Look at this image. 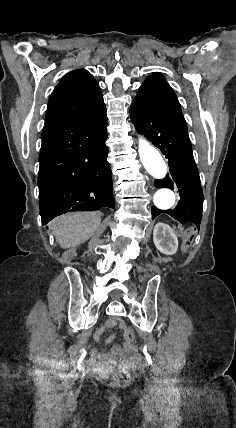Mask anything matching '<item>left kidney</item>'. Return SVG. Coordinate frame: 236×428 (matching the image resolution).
I'll return each mask as SVG.
<instances>
[{
	"label": "left kidney",
	"instance_id": "5707ae66",
	"mask_svg": "<svg viewBox=\"0 0 236 428\" xmlns=\"http://www.w3.org/2000/svg\"><path fill=\"white\" fill-rule=\"evenodd\" d=\"M154 244L162 254H167V256H172L176 254L178 248V240L171 230L170 226L167 224H156L153 232Z\"/></svg>",
	"mask_w": 236,
	"mask_h": 428
}]
</instances>
